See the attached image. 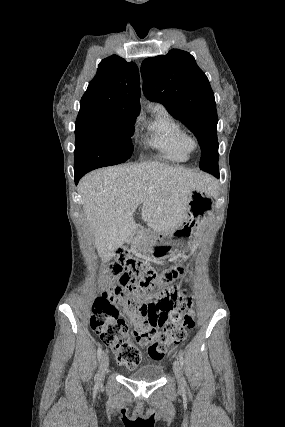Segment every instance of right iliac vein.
Masks as SVG:
<instances>
[{"instance_id": "right-iliac-vein-1", "label": "right iliac vein", "mask_w": 285, "mask_h": 427, "mask_svg": "<svg viewBox=\"0 0 285 427\" xmlns=\"http://www.w3.org/2000/svg\"><path fill=\"white\" fill-rule=\"evenodd\" d=\"M108 367H109V357L107 354H104L102 356V359H101L100 371H99V377L97 380V384H99L103 380V377H104Z\"/></svg>"}]
</instances>
